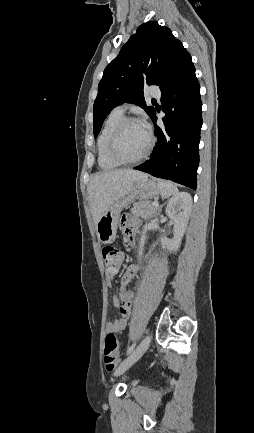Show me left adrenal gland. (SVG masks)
Segmentation results:
<instances>
[{"instance_id": "a2214340", "label": "left adrenal gland", "mask_w": 254, "mask_h": 433, "mask_svg": "<svg viewBox=\"0 0 254 433\" xmlns=\"http://www.w3.org/2000/svg\"><path fill=\"white\" fill-rule=\"evenodd\" d=\"M162 206H163V205H160V207H159V213L161 212Z\"/></svg>"}]
</instances>
